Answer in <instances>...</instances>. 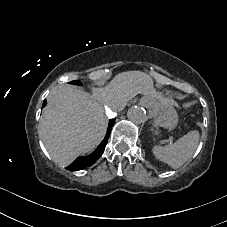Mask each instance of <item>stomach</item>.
I'll list each match as a JSON object with an SVG mask.
<instances>
[{"mask_svg": "<svg viewBox=\"0 0 227 227\" xmlns=\"http://www.w3.org/2000/svg\"><path fill=\"white\" fill-rule=\"evenodd\" d=\"M151 109L156 126L172 129L177 125L178 115L173 106L152 100Z\"/></svg>", "mask_w": 227, "mask_h": 227, "instance_id": "obj_1", "label": "stomach"}]
</instances>
